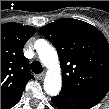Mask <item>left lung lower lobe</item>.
I'll use <instances>...</instances> for the list:
<instances>
[{"label": "left lung lower lobe", "instance_id": "0a47b994", "mask_svg": "<svg viewBox=\"0 0 109 109\" xmlns=\"http://www.w3.org/2000/svg\"><path fill=\"white\" fill-rule=\"evenodd\" d=\"M58 109H90L97 101L77 93L62 89L60 94L51 98Z\"/></svg>", "mask_w": 109, "mask_h": 109}]
</instances>
